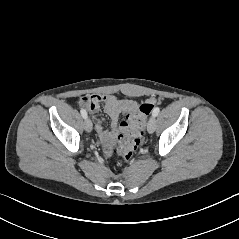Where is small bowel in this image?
I'll return each instance as SVG.
<instances>
[{
  "instance_id": "obj_1",
  "label": "small bowel",
  "mask_w": 239,
  "mask_h": 239,
  "mask_svg": "<svg viewBox=\"0 0 239 239\" xmlns=\"http://www.w3.org/2000/svg\"><path fill=\"white\" fill-rule=\"evenodd\" d=\"M89 106L87 107L91 113H95L99 109V104L104 103L105 112L111 120V131H107L103 127L101 120L96 121L95 129L103 144L104 151L107 155L110 154V146L114 143L121 132L119 118L121 114H133L139 106L129 99H119L110 94H93L89 98ZM151 102H154L152 100Z\"/></svg>"
}]
</instances>
